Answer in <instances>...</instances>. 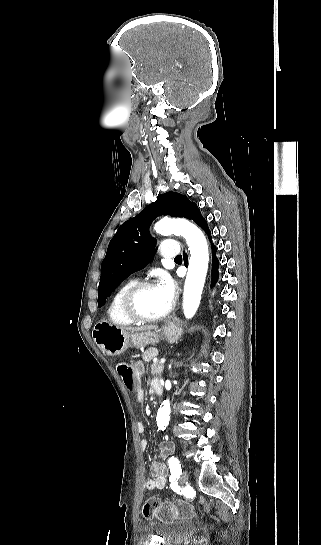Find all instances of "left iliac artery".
Instances as JSON below:
<instances>
[{
  "instance_id": "1",
  "label": "left iliac artery",
  "mask_w": 321,
  "mask_h": 545,
  "mask_svg": "<svg viewBox=\"0 0 321 545\" xmlns=\"http://www.w3.org/2000/svg\"><path fill=\"white\" fill-rule=\"evenodd\" d=\"M168 464L171 471L170 481L172 482L177 480L179 478V475L182 473L181 464L179 460L174 456L168 459Z\"/></svg>"
}]
</instances>
